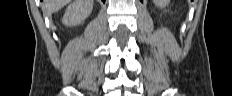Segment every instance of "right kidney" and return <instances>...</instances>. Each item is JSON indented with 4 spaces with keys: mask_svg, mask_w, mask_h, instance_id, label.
I'll list each match as a JSON object with an SVG mask.
<instances>
[{
    "mask_svg": "<svg viewBox=\"0 0 232 96\" xmlns=\"http://www.w3.org/2000/svg\"><path fill=\"white\" fill-rule=\"evenodd\" d=\"M93 8V0H74L66 9L62 23L66 26H76L85 20Z\"/></svg>",
    "mask_w": 232,
    "mask_h": 96,
    "instance_id": "right-kidney-1",
    "label": "right kidney"
}]
</instances>
